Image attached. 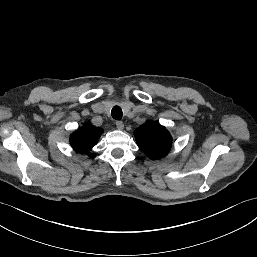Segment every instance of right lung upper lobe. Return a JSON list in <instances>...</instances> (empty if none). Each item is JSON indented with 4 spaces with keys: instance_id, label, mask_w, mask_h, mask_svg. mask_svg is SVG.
<instances>
[{
    "instance_id": "obj_1",
    "label": "right lung upper lobe",
    "mask_w": 257,
    "mask_h": 257,
    "mask_svg": "<svg viewBox=\"0 0 257 257\" xmlns=\"http://www.w3.org/2000/svg\"><path fill=\"white\" fill-rule=\"evenodd\" d=\"M102 133L103 129L93 127L87 122L70 136V144L74 150L86 153L97 144Z\"/></svg>"
}]
</instances>
